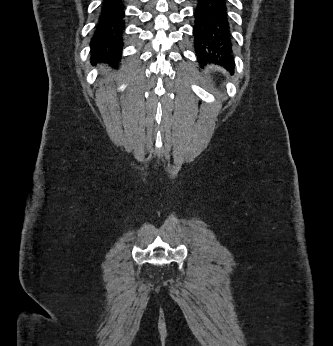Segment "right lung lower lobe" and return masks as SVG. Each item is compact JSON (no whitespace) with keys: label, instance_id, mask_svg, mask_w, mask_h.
I'll return each mask as SVG.
<instances>
[{"label":"right lung lower lobe","instance_id":"obj_1","mask_svg":"<svg viewBox=\"0 0 333 346\" xmlns=\"http://www.w3.org/2000/svg\"><path fill=\"white\" fill-rule=\"evenodd\" d=\"M123 0H103L91 39V60L115 64L120 60L125 29Z\"/></svg>","mask_w":333,"mask_h":346}]
</instances>
